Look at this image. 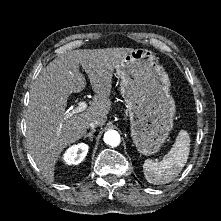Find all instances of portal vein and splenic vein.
<instances>
[{
	"instance_id": "18ae733b",
	"label": "portal vein and splenic vein",
	"mask_w": 221,
	"mask_h": 221,
	"mask_svg": "<svg viewBox=\"0 0 221 221\" xmlns=\"http://www.w3.org/2000/svg\"><path fill=\"white\" fill-rule=\"evenodd\" d=\"M87 107H88V104L86 103V101L82 100L79 102V105L76 108H74L73 110H71L70 112H68L66 114V116L70 117L74 114H78L80 112H83L87 109Z\"/></svg>"
}]
</instances>
